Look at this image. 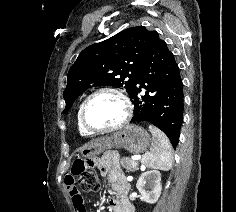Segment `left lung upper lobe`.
Returning <instances> with one entry per match:
<instances>
[{
	"mask_svg": "<svg viewBox=\"0 0 236 212\" xmlns=\"http://www.w3.org/2000/svg\"><path fill=\"white\" fill-rule=\"evenodd\" d=\"M151 33L144 26L132 27L85 48L68 72L63 113L90 87L118 86L127 89L131 95Z\"/></svg>",
	"mask_w": 236,
	"mask_h": 212,
	"instance_id": "1",
	"label": "left lung upper lobe"
}]
</instances>
